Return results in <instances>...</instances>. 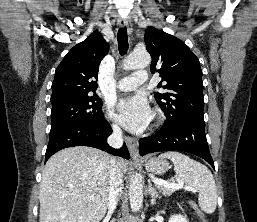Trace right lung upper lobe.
<instances>
[{"mask_svg": "<svg viewBox=\"0 0 257 222\" xmlns=\"http://www.w3.org/2000/svg\"><path fill=\"white\" fill-rule=\"evenodd\" d=\"M108 50L98 31L74 46L55 71L51 100L96 95L99 65Z\"/></svg>", "mask_w": 257, "mask_h": 222, "instance_id": "cb5924a9", "label": "right lung upper lobe"}]
</instances>
